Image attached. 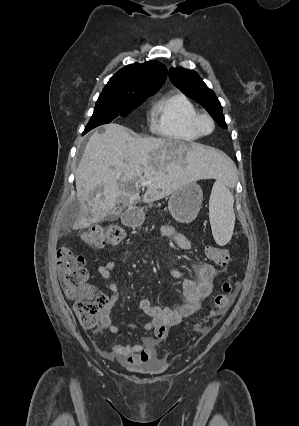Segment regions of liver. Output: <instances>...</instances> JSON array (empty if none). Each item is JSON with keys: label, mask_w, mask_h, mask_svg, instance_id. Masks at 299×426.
<instances>
[{"label": "liver", "mask_w": 299, "mask_h": 426, "mask_svg": "<svg viewBox=\"0 0 299 426\" xmlns=\"http://www.w3.org/2000/svg\"><path fill=\"white\" fill-rule=\"evenodd\" d=\"M94 132L75 172L80 213L74 228L104 220L117 203L140 201V183L150 182L143 196L151 203L203 177L225 178L232 160L213 147L179 140L131 136L119 124Z\"/></svg>", "instance_id": "6515ba94"}]
</instances>
